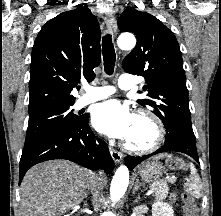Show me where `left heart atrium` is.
Returning a JSON list of instances; mask_svg holds the SVG:
<instances>
[{"mask_svg": "<svg viewBox=\"0 0 221 216\" xmlns=\"http://www.w3.org/2000/svg\"><path fill=\"white\" fill-rule=\"evenodd\" d=\"M91 120L101 133L126 138L132 128L134 115L126 105L117 100H108L94 107Z\"/></svg>", "mask_w": 221, "mask_h": 216, "instance_id": "1", "label": "left heart atrium"}]
</instances>
